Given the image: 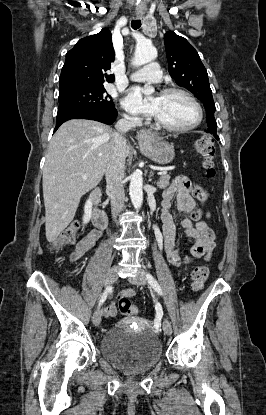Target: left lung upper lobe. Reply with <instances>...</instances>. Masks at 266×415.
Segmentation results:
<instances>
[{"instance_id":"obj_1","label":"left lung upper lobe","mask_w":266,"mask_h":415,"mask_svg":"<svg viewBox=\"0 0 266 415\" xmlns=\"http://www.w3.org/2000/svg\"><path fill=\"white\" fill-rule=\"evenodd\" d=\"M164 44L168 60V72L175 82L192 92L203 102L206 110L208 130L217 137V123L214 118L215 103L212 97L208 74L195 48L181 36L169 31L165 33Z\"/></svg>"}]
</instances>
